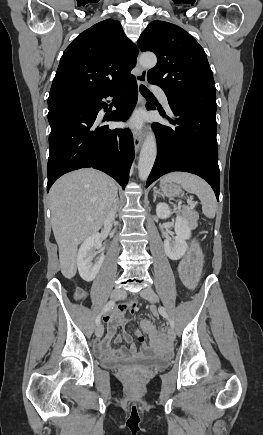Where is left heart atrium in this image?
Wrapping results in <instances>:
<instances>
[{
  "label": "left heart atrium",
  "instance_id": "1",
  "mask_svg": "<svg viewBox=\"0 0 263 435\" xmlns=\"http://www.w3.org/2000/svg\"><path fill=\"white\" fill-rule=\"evenodd\" d=\"M142 124V118L139 115L134 116L129 122L128 126L138 129Z\"/></svg>",
  "mask_w": 263,
  "mask_h": 435
}]
</instances>
